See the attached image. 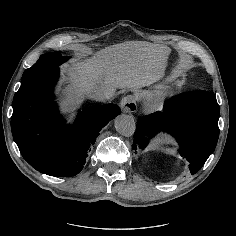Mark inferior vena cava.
<instances>
[{"label": "inferior vena cava", "mask_w": 236, "mask_h": 236, "mask_svg": "<svg viewBox=\"0 0 236 236\" xmlns=\"http://www.w3.org/2000/svg\"><path fill=\"white\" fill-rule=\"evenodd\" d=\"M113 94L114 89L105 85H97L89 92V96L95 100H108Z\"/></svg>", "instance_id": "602c4592"}]
</instances>
